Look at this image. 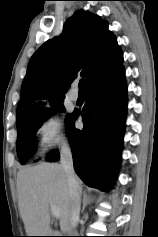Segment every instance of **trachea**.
Listing matches in <instances>:
<instances>
[{"instance_id":"1","label":"trachea","mask_w":158,"mask_h":237,"mask_svg":"<svg viewBox=\"0 0 158 237\" xmlns=\"http://www.w3.org/2000/svg\"><path fill=\"white\" fill-rule=\"evenodd\" d=\"M79 91L85 92V80L84 79L80 80V82H79Z\"/></svg>"}]
</instances>
